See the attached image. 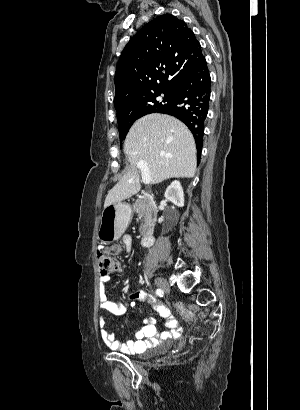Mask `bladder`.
Segmentation results:
<instances>
[{
  "label": "bladder",
  "instance_id": "31cf9c89",
  "mask_svg": "<svg viewBox=\"0 0 300 410\" xmlns=\"http://www.w3.org/2000/svg\"><path fill=\"white\" fill-rule=\"evenodd\" d=\"M171 341H167L165 343H163L162 345H160L156 350L157 351H165L170 347ZM150 354V352H145L143 355L144 356H148Z\"/></svg>",
  "mask_w": 300,
  "mask_h": 410
}]
</instances>
